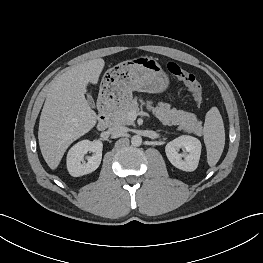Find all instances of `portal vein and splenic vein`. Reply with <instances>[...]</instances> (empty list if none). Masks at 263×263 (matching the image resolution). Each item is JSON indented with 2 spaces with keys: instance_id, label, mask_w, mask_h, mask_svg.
<instances>
[{
  "instance_id": "18ae733b",
  "label": "portal vein and splenic vein",
  "mask_w": 263,
  "mask_h": 263,
  "mask_svg": "<svg viewBox=\"0 0 263 263\" xmlns=\"http://www.w3.org/2000/svg\"><path fill=\"white\" fill-rule=\"evenodd\" d=\"M129 116H130V118H131L132 120H134V119L137 117L136 111L130 112Z\"/></svg>"
}]
</instances>
